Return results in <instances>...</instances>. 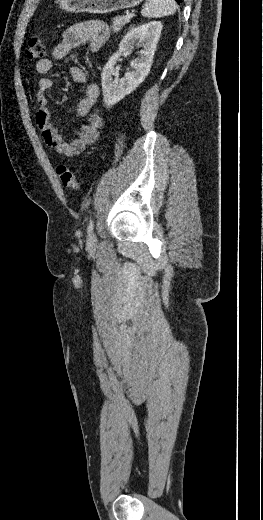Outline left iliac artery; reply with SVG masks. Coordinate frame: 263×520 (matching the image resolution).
Returning <instances> with one entry per match:
<instances>
[{"label": "left iliac artery", "instance_id": "obj_1", "mask_svg": "<svg viewBox=\"0 0 263 520\" xmlns=\"http://www.w3.org/2000/svg\"><path fill=\"white\" fill-rule=\"evenodd\" d=\"M93 229H94V221L90 220L89 225L87 227L88 234L92 233Z\"/></svg>", "mask_w": 263, "mask_h": 520}]
</instances>
